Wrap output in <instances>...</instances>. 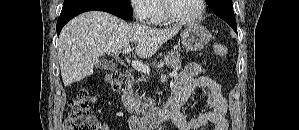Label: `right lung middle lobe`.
Here are the masks:
<instances>
[{"label":"right lung middle lobe","mask_w":299,"mask_h":130,"mask_svg":"<svg viewBox=\"0 0 299 130\" xmlns=\"http://www.w3.org/2000/svg\"><path fill=\"white\" fill-rule=\"evenodd\" d=\"M119 1L130 5V0H119Z\"/></svg>","instance_id":"right-lung-middle-lobe-1"}]
</instances>
